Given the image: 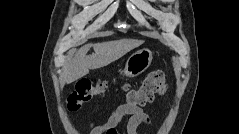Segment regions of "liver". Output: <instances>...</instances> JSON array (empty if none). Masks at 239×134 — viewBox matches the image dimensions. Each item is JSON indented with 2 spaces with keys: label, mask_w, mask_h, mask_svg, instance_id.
I'll use <instances>...</instances> for the list:
<instances>
[{
  "label": "liver",
  "mask_w": 239,
  "mask_h": 134,
  "mask_svg": "<svg viewBox=\"0 0 239 134\" xmlns=\"http://www.w3.org/2000/svg\"><path fill=\"white\" fill-rule=\"evenodd\" d=\"M142 40L121 39L96 44H87L81 47L75 57L67 65L63 81L67 84L87 75L90 69H98L118 60L129 51L140 46ZM93 46L94 53L87 55Z\"/></svg>",
  "instance_id": "6515ba94"
}]
</instances>
